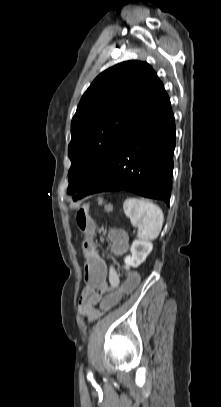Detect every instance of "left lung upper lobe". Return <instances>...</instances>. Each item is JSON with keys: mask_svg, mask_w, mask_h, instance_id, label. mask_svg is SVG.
<instances>
[{"mask_svg": "<svg viewBox=\"0 0 221 407\" xmlns=\"http://www.w3.org/2000/svg\"><path fill=\"white\" fill-rule=\"evenodd\" d=\"M160 83L149 64L140 61L122 62L96 77L71 122L69 194H81L93 183Z\"/></svg>", "mask_w": 221, "mask_h": 407, "instance_id": "5c2ea615", "label": "left lung upper lobe"}]
</instances>
